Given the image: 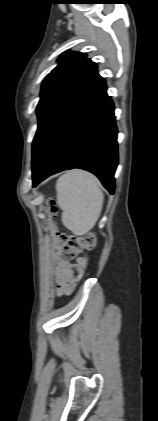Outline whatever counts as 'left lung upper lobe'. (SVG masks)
<instances>
[{"label": "left lung upper lobe", "mask_w": 158, "mask_h": 421, "mask_svg": "<svg viewBox=\"0 0 158 421\" xmlns=\"http://www.w3.org/2000/svg\"><path fill=\"white\" fill-rule=\"evenodd\" d=\"M57 61L58 65L42 83L37 106L39 122L33 141V150L58 112L97 73L96 63L87 59L85 53L67 51Z\"/></svg>", "instance_id": "left-lung-upper-lobe-1"}]
</instances>
